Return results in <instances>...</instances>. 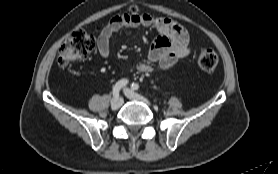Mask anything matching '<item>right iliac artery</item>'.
<instances>
[{
	"mask_svg": "<svg viewBox=\"0 0 278 174\" xmlns=\"http://www.w3.org/2000/svg\"><path fill=\"white\" fill-rule=\"evenodd\" d=\"M128 84L127 79H121L113 87V96L118 97L120 90Z\"/></svg>",
	"mask_w": 278,
	"mask_h": 174,
	"instance_id": "1",
	"label": "right iliac artery"
}]
</instances>
